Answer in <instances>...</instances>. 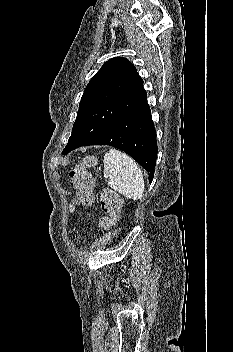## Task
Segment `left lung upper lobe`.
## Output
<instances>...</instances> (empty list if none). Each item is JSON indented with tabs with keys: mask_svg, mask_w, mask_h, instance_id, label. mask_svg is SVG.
<instances>
[{
	"mask_svg": "<svg viewBox=\"0 0 233 352\" xmlns=\"http://www.w3.org/2000/svg\"><path fill=\"white\" fill-rule=\"evenodd\" d=\"M146 100L143 80L134 65L123 57L108 60L85 88L72 134L62 153L98 138Z\"/></svg>",
	"mask_w": 233,
	"mask_h": 352,
	"instance_id": "5c2ea615",
	"label": "left lung upper lobe"
}]
</instances>
